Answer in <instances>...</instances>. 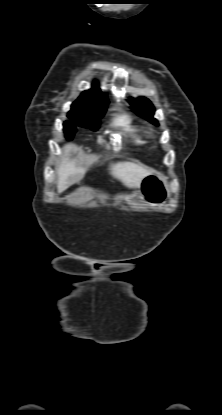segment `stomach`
Instances as JSON below:
<instances>
[{"label":"stomach","instance_id":"0dacf381","mask_svg":"<svg viewBox=\"0 0 222 415\" xmlns=\"http://www.w3.org/2000/svg\"><path fill=\"white\" fill-rule=\"evenodd\" d=\"M139 188L143 198L152 205L164 204L170 196L166 177L157 172L147 175Z\"/></svg>","mask_w":222,"mask_h":415}]
</instances>
